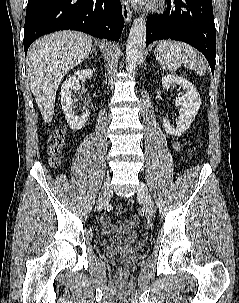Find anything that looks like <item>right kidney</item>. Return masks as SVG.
Segmentation results:
<instances>
[{
	"label": "right kidney",
	"instance_id": "1",
	"mask_svg": "<svg viewBox=\"0 0 239 303\" xmlns=\"http://www.w3.org/2000/svg\"><path fill=\"white\" fill-rule=\"evenodd\" d=\"M92 69L78 70L74 75L68 77L61 86V104L67 123L73 131L80 130L88 120L90 113L86 111L82 115H77L73 110L72 91L80 89L79 79H91Z\"/></svg>",
	"mask_w": 239,
	"mask_h": 303
}]
</instances>
